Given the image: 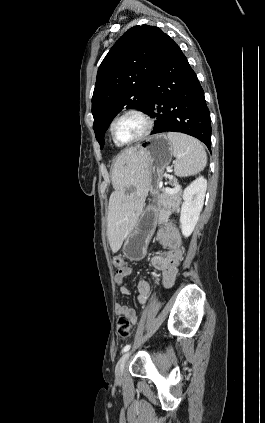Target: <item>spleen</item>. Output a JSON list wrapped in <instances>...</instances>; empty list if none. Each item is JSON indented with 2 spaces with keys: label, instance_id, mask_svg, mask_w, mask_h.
Here are the masks:
<instances>
[{
  "label": "spleen",
  "instance_id": "spleen-1",
  "mask_svg": "<svg viewBox=\"0 0 265 423\" xmlns=\"http://www.w3.org/2000/svg\"><path fill=\"white\" fill-rule=\"evenodd\" d=\"M176 158L174 173L186 177L200 173L207 164V155L203 145L193 137L182 133L168 132Z\"/></svg>",
  "mask_w": 265,
  "mask_h": 423
}]
</instances>
